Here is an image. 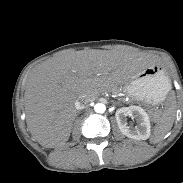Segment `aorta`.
Instances as JSON below:
<instances>
[{
	"mask_svg": "<svg viewBox=\"0 0 183 183\" xmlns=\"http://www.w3.org/2000/svg\"><path fill=\"white\" fill-rule=\"evenodd\" d=\"M94 110H95V112H97V113H104L105 110H106V106H105L103 103H97V104L94 106Z\"/></svg>",
	"mask_w": 183,
	"mask_h": 183,
	"instance_id": "1",
	"label": "aorta"
}]
</instances>
